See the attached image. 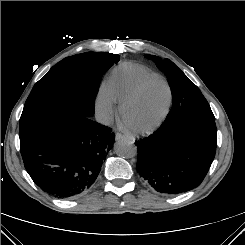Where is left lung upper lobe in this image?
Instances as JSON below:
<instances>
[{"label": "left lung upper lobe", "mask_w": 245, "mask_h": 245, "mask_svg": "<svg viewBox=\"0 0 245 245\" xmlns=\"http://www.w3.org/2000/svg\"><path fill=\"white\" fill-rule=\"evenodd\" d=\"M147 57L156 62L157 66L165 72L171 88L173 104L165 122L185 113L215 118L199 88L172 61L169 59L163 61L153 55H147Z\"/></svg>", "instance_id": "obj_1"}]
</instances>
